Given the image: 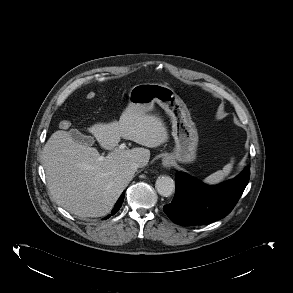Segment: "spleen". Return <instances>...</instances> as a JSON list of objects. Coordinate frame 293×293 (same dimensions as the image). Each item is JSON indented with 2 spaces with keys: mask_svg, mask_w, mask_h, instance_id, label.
<instances>
[{
  "mask_svg": "<svg viewBox=\"0 0 293 293\" xmlns=\"http://www.w3.org/2000/svg\"><path fill=\"white\" fill-rule=\"evenodd\" d=\"M233 164H234V160L232 159L230 163H228L227 165L223 167L222 170H218L215 173L206 177L204 179V182L209 185H215L222 182L225 179V177H227L232 171Z\"/></svg>",
  "mask_w": 293,
  "mask_h": 293,
  "instance_id": "3e777b00",
  "label": "spleen"
}]
</instances>
